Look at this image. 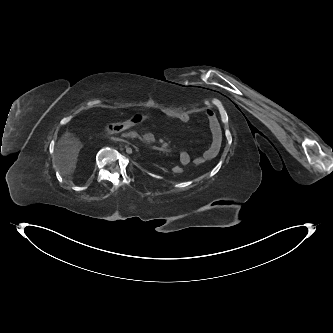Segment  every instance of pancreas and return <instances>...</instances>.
<instances>
[{
  "instance_id": "pancreas-1",
  "label": "pancreas",
  "mask_w": 333,
  "mask_h": 333,
  "mask_svg": "<svg viewBox=\"0 0 333 333\" xmlns=\"http://www.w3.org/2000/svg\"><path fill=\"white\" fill-rule=\"evenodd\" d=\"M126 135L130 136V137H138L142 141H146L147 140V136L146 135L139 136L136 132H129Z\"/></svg>"
}]
</instances>
